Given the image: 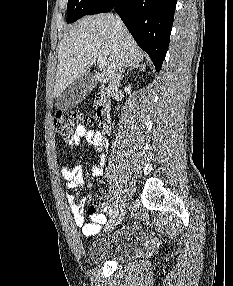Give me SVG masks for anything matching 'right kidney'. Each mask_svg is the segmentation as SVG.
<instances>
[{
	"label": "right kidney",
	"instance_id": "1",
	"mask_svg": "<svg viewBox=\"0 0 233 286\" xmlns=\"http://www.w3.org/2000/svg\"><path fill=\"white\" fill-rule=\"evenodd\" d=\"M124 91L127 93V94H130L131 93V85H128L127 87L124 88Z\"/></svg>",
	"mask_w": 233,
	"mask_h": 286
}]
</instances>
